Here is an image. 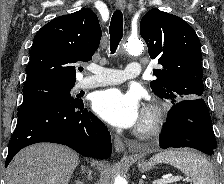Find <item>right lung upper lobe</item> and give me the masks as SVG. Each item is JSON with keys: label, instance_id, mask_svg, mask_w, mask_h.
I'll use <instances>...</instances> for the list:
<instances>
[{"label": "right lung upper lobe", "instance_id": "right-lung-upper-lobe-1", "mask_svg": "<svg viewBox=\"0 0 224 184\" xmlns=\"http://www.w3.org/2000/svg\"><path fill=\"white\" fill-rule=\"evenodd\" d=\"M101 35L98 18L90 9L53 19L33 39L25 84L75 83L76 63L91 60Z\"/></svg>", "mask_w": 224, "mask_h": 184}]
</instances>
